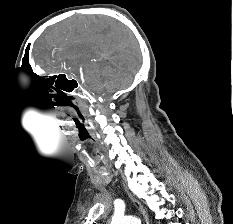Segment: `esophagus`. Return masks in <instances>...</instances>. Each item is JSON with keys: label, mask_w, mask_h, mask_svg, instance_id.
Wrapping results in <instances>:
<instances>
[{"label": "esophagus", "mask_w": 233, "mask_h": 224, "mask_svg": "<svg viewBox=\"0 0 233 224\" xmlns=\"http://www.w3.org/2000/svg\"><path fill=\"white\" fill-rule=\"evenodd\" d=\"M124 188H125V191L128 193L129 197L131 198L132 202L136 206V208L142 214L143 220H144V224H149L148 214H147L146 210L143 208L142 204L136 198H134L131 195V193H129L127 186L124 185Z\"/></svg>", "instance_id": "34e87169"}]
</instances>
